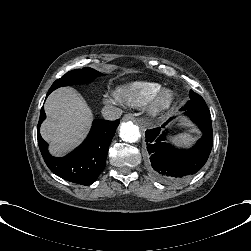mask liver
<instances>
[{
	"label": "liver",
	"instance_id": "6515ba94",
	"mask_svg": "<svg viewBox=\"0 0 251 251\" xmlns=\"http://www.w3.org/2000/svg\"><path fill=\"white\" fill-rule=\"evenodd\" d=\"M47 119L41 124L42 138L53 156H62L87 135L93 114L86 101L71 87L52 92L44 105Z\"/></svg>",
	"mask_w": 251,
	"mask_h": 251
}]
</instances>
